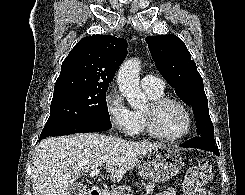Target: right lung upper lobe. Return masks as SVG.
<instances>
[{
  "instance_id": "right-lung-upper-lobe-1",
  "label": "right lung upper lobe",
  "mask_w": 245,
  "mask_h": 195,
  "mask_svg": "<svg viewBox=\"0 0 245 195\" xmlns=\"http://www.w3.org/2000/svg\"><path fill=\"white\" fill-rule=\"evenodd\" d=\"M127 41L110 35L81 39L62 63L54 92L79 88H105L127 55Z\"/></svg>"
}]
</instances>
